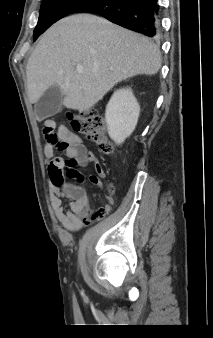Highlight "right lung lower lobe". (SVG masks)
<instances>
[{"instance_id":"1","label":"right lung lower lobe","mask_w":213,"mask_h":338,"mask_svg":"<svg viewBox=\"0 0 213 338\" xmlns=\"http://www.w3.org/2000/svg\"><path fill=\"white\" fill-rule=\"evenodd\" d=\"M78 12L98 14L149 37H157L160 32L158 0H92L74 13Z\"/></svg>"}]
</instances>
